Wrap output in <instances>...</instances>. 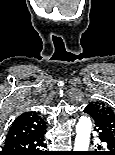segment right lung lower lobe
<instances>
[{"instance_id": "obj_1", "label": "right lung lower lobe", "mask_w": 115, "mask_h": 155, "mask_svg": "<svg viewBox=\"0 0 115 155\" xmlns=\"http://www.w3.org/2000/svg\"><path fill=\"white\" fill-rule=\"evenodd\" d=\"M45 131L9 143H5L0 155H50L46 149Z\"/></svg>"}]
</instances>
